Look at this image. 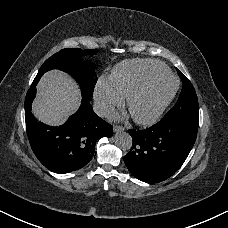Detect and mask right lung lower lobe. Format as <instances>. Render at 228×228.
Returning a JSON list of instances; mask_svg holds the SVG:
<instances>
[{
	"instance_id": "98d812e1",
	"label": "right lung lower lobe",
	"mask_w": 228,
	"mask_h": 228,
	"mask_svg": "<svg viewBox=\"0 0 228 228\" xmlns=\"http://www.w3.org/2000/svg\"><path fill=\"white\" fill-rule=\"evenodd\" d=\"M38 81L34 79L25 99L26 130L31 148L40 162L55 173L78 170L90 162L97 140L113 135V127L98 117L85 99L78 111L61 126L38 122L31 112Z\"/></svg>"
}]
</instances>
